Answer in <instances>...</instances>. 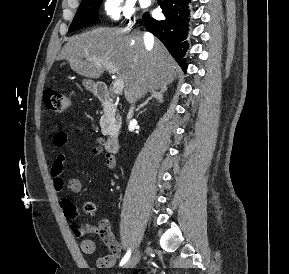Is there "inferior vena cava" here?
<instances>
[{"label":"inferior vena cava","instance_id":"602c4592","mask_svg":"<svg viewBox=\"0 0 289 274\" xmlns=\"http://www.w3.org/2000/svg\"><path fill=\"white\" fill-rule=\"evenodd\" d=\"M143 39H144V42L145 44H148V43H153L154 41V38L151 34H148V33H145L144 36H143ZM132 110H130L127 118L130 119L132 117Z\"/></svg>","mask_w":289,"mask_h":274}]
</instances>
